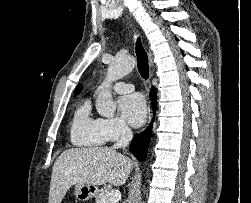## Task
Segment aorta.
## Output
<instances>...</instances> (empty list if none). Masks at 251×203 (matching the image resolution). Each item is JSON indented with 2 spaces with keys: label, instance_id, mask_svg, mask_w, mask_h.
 Here are the masks:
<instances>
[{
  "label": "aorta",
  "instance_id": "1",
  "mask_svg": "<svg viewBox=\"0 0 251 203\" xmlns=\"http://www.w3.org/2000/svg\"><path fill=\"white\" fill-rule=\"evenodd\" d=\"M135 63V59L130 56L116 58L110 63L107 69L106 78L102 85L97 89L96 109L101 116L108 118L114 116L116 105L109 90L110 86L114 81L129 74L135 67Z\"/></svg>",
  "mask_w": 251,
  "mask_h": 203
}]
</instances>
